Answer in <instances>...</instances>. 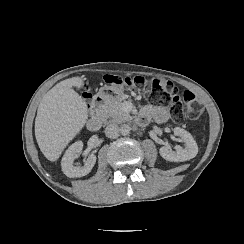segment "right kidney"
<instances>
[{
	"label": "right kidney",
	"instance_id": "right-kidney-1",
	"mask_svg": "<svg viewBox=\"0 0 244 244\" xmlns=\"http://www.w3.org/2000/svg\"><path fill=\"white\" fill-rule=\"evenodd\" d=\"M82 150L83 143L76 142L67 150L66 154L64 155L62 160V170L68 178L83 177L91 172L97 159L96 155L93 153L89 154L88 159L81 168L74 166V159L82 152Z\"/></svg>",
	"mask_w": 244,
	"mask_h": 244
}]
</instances>
